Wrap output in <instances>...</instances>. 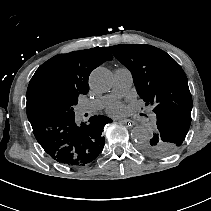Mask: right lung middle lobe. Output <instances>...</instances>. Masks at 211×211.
Returning a JSON list of instances; mask_svg holds the SVG:
<instances>
[{
    "mask_svg": "<svg viewBox=\"0 0 211 211\" xmlns=\"http://www.w3.org/2000/svg\"><path fill=\"white\" fill-rule=\"evenodd\" d=\"M78 100H69L57 104L50 112V117H72L75 115L73 109Z\"/></svg>",
    "mask_w": 211,
    "mask_h": 211,
    "instance_id": "right-lung-middle-lobe-1",
    "label": "right lung middle lobe"
}]
</instances>
